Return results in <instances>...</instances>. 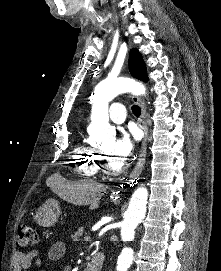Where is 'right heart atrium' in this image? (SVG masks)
<instances>
[{
	"label": "right heart atrium",
	"mask_w": 221,
	"mask_h": 271,
	"mask_svg": "<svg viewBox=\"0 0 221 271\" xmlns=\"http://www.w3.org/2000/svg\"><path fill=\"white\" fill-rule=\"evenodd\" d=\"M173 81V80H167ZM78 155H87L89 158L86 161H97L96 159H103V154H78Z\"/></svg>",
	"instance_id": "obj_1"
}]
</instances>
